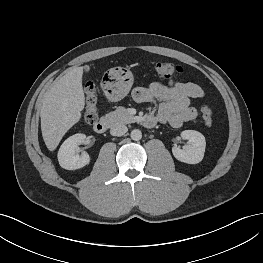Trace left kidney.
Instances as JSON below:
<instances>
[{
  "instance_id": "1",
  "label": "left kidney",
  "mask_w": 263,
  "mask_h": 263,
  "mask_svg": "<svg viewBox=\"0 0 263 263\" xmlns=\"http://www.w3.org/2000/svg\"><path fill=\"white\" fill-rule=\"evenodd\" d=\"M182 139L188 140V145L183 149L177 146L172 148L174 157L184 163L197 164L204 157L206 141L205 137L195 130H184L181 132Z\"/></svg>"
}]
</instances>
